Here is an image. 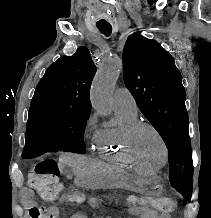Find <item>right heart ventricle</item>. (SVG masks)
<instances>
[{"instance_id": "right-heart-ventricle-1", "label": "right heart ventricle", "mask_w": 211, "mask_h": 218, "mask_svg": "<svg viewBox=\"0 0 211 218\" xmlns=\"http://www.w3.org/2000/svg\"><path fill=\"white\" fill-rule=\"evenodd\" d=\"M119 124L114 128H105L95 141L97 149L93 154L105 157V162L111 165H122V169H135L125 147V132L127 128L138 120L137 113L121 108H115Z\"/></svg>"}]
</instances>
